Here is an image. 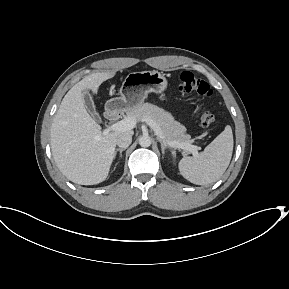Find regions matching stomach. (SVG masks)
<instances>
[{
  "mask_svg": "<svg viewBox=\"0 0 289 289\" xmlns=\"http://www.w3.org/2000/svg\"><path fill=\"white\" fill-rule=\"evenodd\" d=\"M166 77L158 71L133 72L127 75L119 91L107 105L115 110L128 111L143 103L149 93L162 94L167 89Z\"/></svg>",
  "mask_w": 289,
  "mask_h": 289,
  "instance_id": "0dacf381",
  "label": "stomach"
}]
</instances>
